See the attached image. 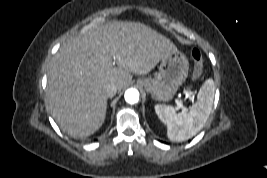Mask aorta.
<instances>
[{"mask_svg":"<svg viewBox=\"0 0 267 178\" xmlns=\"http://www.w3.org/2000/svg\"><path fill=\"white\" fill-rule=\"evenodd\" d=\"M124 98L127 103L135 104L139 101V91L134 88L127 89Z\"/></svg>","mask_w":267,"mask_h":178,"instance_id":"aorta-1","label":"aorta"}]
</instances>
